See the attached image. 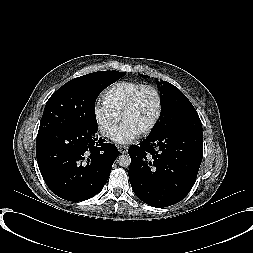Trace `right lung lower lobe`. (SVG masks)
I'll return each mask as SVG.
<instances>
[{
  "instance_id": "98d812e1",
  "label": "right lung lower lobe",
  "mask_w": 253,
  "mask_h": 253,
  "mask_svg": "<svg viewBox=\"0 0 253 253\" xmlns=\"http://www.w3.org/2000/svg\"><path fill=\"white\" fill-rule=\"evenodd\" d=\"M97 130L75 125L37 135L41 175L60 198L84 201L104 187L118 150L114 144L98 140Z\"/></svg>"
}]
</instances>
